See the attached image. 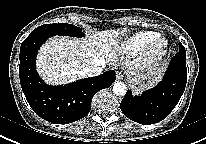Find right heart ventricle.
<instances>
[{
    "label": "right heart ventricle",
    "instance_id": "obj_1",
    "mask_svg": "<svg viewBox=\"0 0 206 144\" xmlns=\"http://www.w3.org/2000/svg\"><path fill=\"white\" fill-rule=\"evenodd\" d=\"M158 35L154 31H139L127 36L122 40L117 49L123 54H134L142 51L145 46Z\"/></svg>",
    "mask_w": 206,
    "mask_h": 144
}]
</instances>
